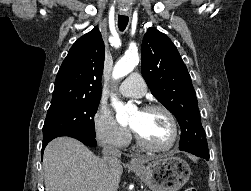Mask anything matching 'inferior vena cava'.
Masks as SVG:
<instances>
[{"instance_id":"inferior-vena-cava-1","label":"inferior vena cava","mask_w":251,"mask_h":191,"mask_svg":"<svg viewBox=\"0 0 251 191\" xmlns=\"http://www.w3.org/2000/svg\"><path fill=\"white\" fill-rule=\"evenodd\" d=\"M102 153L103 159L108 161V163H111V165H118L121 161V151H119V149H115L112 145H104Z\"/></svg>"}]
</instances>
